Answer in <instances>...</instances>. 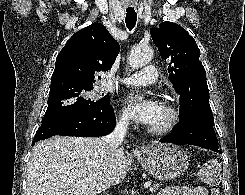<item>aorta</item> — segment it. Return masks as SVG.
Listing matches in <instances>:
<instances>
[{
    "instance_id": "obj_1",
    "label": "aorta",
    "mask_w": 245,
    "mask_h": 195,
    "mask_svg": "<svg viewBox=\"0 0 245 195\" xmlns=\"http://www.w3.org/2000/svg\"><path fill=\"white\" fill-rule=\"evenodd\" d=\"M153 57V50L149 46H135L129 57L128 64L132 69L147 65Z\"/></svg>"
}]
</instances>
